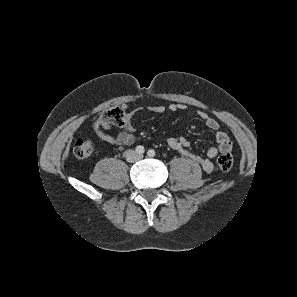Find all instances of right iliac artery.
<instances>
[{"label":"right iliac artery","instance_id":"1","mask_svg":"<svg viewBox=\"0 0 297 297\" xmlns=\"http://www.w3.org/2000/svg\"><path fill=\"white\" fill-rule=\"evenodd\" d=\"M145 151L144 147L139 145L136 147V152L139 153V154H143Z\"/></svg>","mask_w":297,"mask_h":297}]
</instances>
